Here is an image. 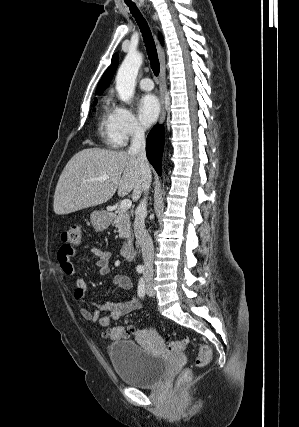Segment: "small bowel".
I'll return each instance as SVG.
<instances>
[{
	"label": "small bowel",
	"mask_w": 299,
	"mask_h": 427,
	"mask_svg": "<svg viewBox=\"0 0 299 427\" xmlns=\"http://www.w3.org/2000/svg\"><path fill=\"white\" fill-rule=\"evenodd\" d=\"M91 253L96 257L95 266L100 275L104 276L109 273V259L110 253L107 250L101 249L96 246L90 248ZM77 255V249L69 244L61 246L57 255L62 272L66 275H75L77 267L72 262V258ZM112 285L117 286L125 291L132 290L131 279L122 274L115 275L112 279ZM74 297L76 300L81 301L86 298L88 292V285L84 278L77 277L75 281ZM141 306L139 300L135 297L130 298L123 302L107 301L103 304L97 305V308L91 310L87 307L80 308L81 317L84 320L99 323L102 327H109L112 321L117 320L126 314L138 309ZM105 312V314H101Z\"/></svg>",
	"instance_id": "obj_1"
}]
</instances>
